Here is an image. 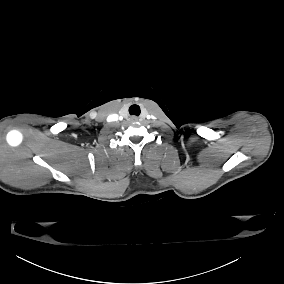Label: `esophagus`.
<instances>
[{
	"mask_svg": "<svg viewBox=\"0 0 284 284\" xmlns=\"http://www.w3.org/2000/svg\"><path fill=\"white\" fill-rule=\"evenodd\" d=\"M130 119L132 120V121H138V117L137 116H135V115H132L131 117H130Z\"/></svg>",
	"mask_w": 284,
	"mask_h": 284,
	"instance_id": "34e87169",
	"label": "esophagus"
}]
</instances>
